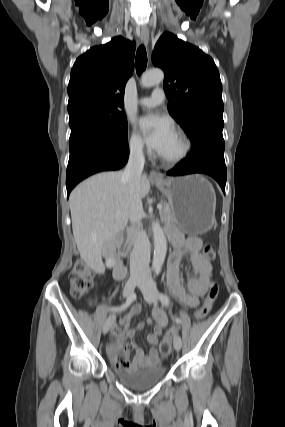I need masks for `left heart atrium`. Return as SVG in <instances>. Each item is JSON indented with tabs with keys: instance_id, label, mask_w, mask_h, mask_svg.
Listing matches in <instances>:
<instances>
[{
	"instance_id": "obj_1",
	"label": "left heart atrium",
	"mask_w": 285,
	"mask_h": 427,
	"mask_svg": "<svg viewBox=\"0 0 285 427\" xmlns=\"http://www.w3.org/2000/svg\"><path fill=\"white\" fill-rule=\"evenodd\" d=\"M138 126L145 141L159 152L170 135L174 132L171 122L161 116L146 115L139 119Z\"/></svg>"
}]
</instances>
